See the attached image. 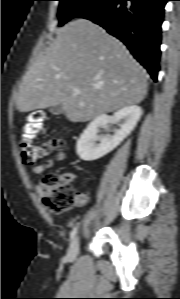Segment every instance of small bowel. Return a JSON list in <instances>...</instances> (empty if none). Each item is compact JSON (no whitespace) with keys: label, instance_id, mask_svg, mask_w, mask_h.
Listing matches in <instances>:
<instances>
[{"label":"small bowel","instance_id":"1","mask_svg":"<svg viewBox=\"0 0 180 299\" xmlns=\"http://www.w3.org/2000/svg\"><path fill=\"white\" fill-rule=\"evenodd\" d=\"M65 153L64 152H59L57 153L53 158L47 160L43 165H36L32 168L33 173L35 174H41L44 172V170L46 168H49L51 166H53L54 164L58 163V162H62L65 159ZM64 179L66 181L73 182L75 179L74 174L72 173H65L63 175ZM46 185L44 184H38L36 186V191L40 196H44L46 194ZM87 200V196L83 193H79L77 195V205L78 206H82Z\"/></svg>","mask_w":180,"mask_h":299}]
</instances>
